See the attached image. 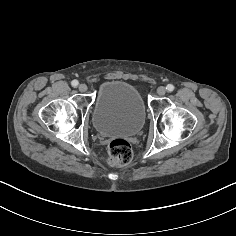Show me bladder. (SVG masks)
Instances as JSON below:
<instances>
[{
  "label": "bladder",
  "instance_id": "bladder-1",
  "mask_svg": "<svg viewBox=\"0 0 236 236\" xmlns=\"http://www.w3.org/2000/svg\"><path fill=\"white\" fill-rule=\"evenodd\" d=\"M145 106L136 87L123 81H107L97 92L93 125L104 136H133L145 124Z\"/></svg>",
  "mask_w": 236,
  "mask_h": 236
}]
</instances>
